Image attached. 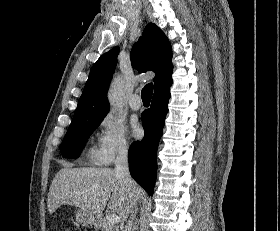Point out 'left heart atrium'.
<instances>
[{
  "label": "left heart atrium",
  "mask_w": 280,
  "mask_h": 231,
  "mask_svg": "<svg viewBox=\"0 0 280 231\" xmlns=\"http://www.w3.org/2000/svg\"><path fill=\"white\" fill-rule=\"evenodd\" d=\"M131 133L134 138H140L143 134V128L140 123L134 119L130 123Z\"/></svg>",
  "instance_id": "1"
}]
</instances>
